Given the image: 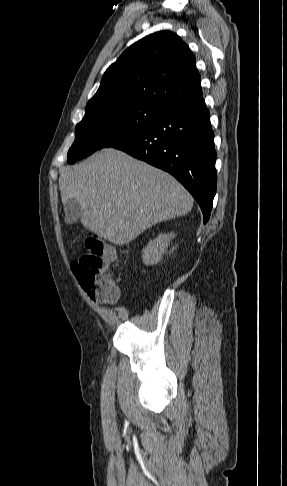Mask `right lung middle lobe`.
<instances>
[{
  "label": "right lung middle lobe",
  "instance_id": "obj_1",
  "mask_svg": "<svg viewBox=\"0 0 287 486\" xmlns=\"http://www.w3.org/2000/svg\"><path fill=\"white\" fill-rule=\"evenodd\" d=\"M167 110L147 101L108 103L86 109L84 118L76 126L68 162L72 164L101 148L131 140Z\"/></svg>",
  "mask_w": 287,
  "mask_h": 486
}]
</instances>
